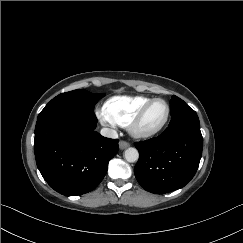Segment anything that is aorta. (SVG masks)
Returning <instances> with one entry per match:
<instances>
[{"instance_id": "1", "label": "aorta", "mask_w": 243, "mask_h": 243, "mask_svg": "<svg viewBox=\"0 0 243 243\" xmlns=\"http://www.w3.org/2000/svg\"><path fill=\"white\" fill-rule=\"evenodd\" d=\"M124 157L126 161L130 163L136 162L139 158L138 150L136 148L130 147L125 150Z\"/></svg>"}]
</instances>
